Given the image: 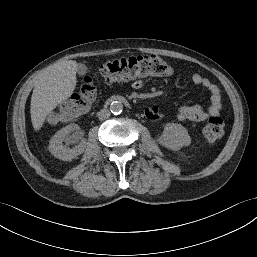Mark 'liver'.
Masks as SVG:
<instances>
[{
    "mask_svg": "<svg viewBox=\"0 0 257 257\" xmlns=\"http://www.w3.org/2000/svg\"><path fill=\"white\" fill-rule=\"evenodd\" d=\"M78 64L74 60L61 61L47 68L36 83L30 104L31 121L35 131L43 126L53 109L68 99L76 87Z\"/></svg>",
    "mask_w": 257,
    "mask_h": 257,
    "instance_id": "1",
    "label": "liver"
}]
</instances>
